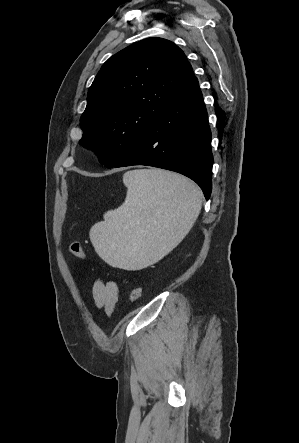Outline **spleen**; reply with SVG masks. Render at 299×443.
<instances>
[{
  "instance_id": "3e777b00",
  "label": "spleen",
  "mask_w": 299,
  "mask_h": 443,
  "mask_svg": "<svg viewBox=\"0 0 299 443\" xmlns=\"http://www.w3.org/2000/svg\"><path fill=\"white\" fill-rule=\"evenodd\" d=\"M125 202L90 230L97 254L110 266L139 270L175 248L191 230L202 192L191 180L160 169L124 174Z\"/></svg>"
}]
</instances>
